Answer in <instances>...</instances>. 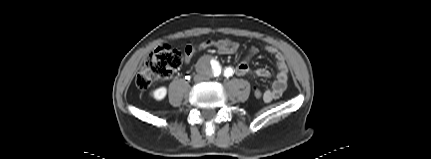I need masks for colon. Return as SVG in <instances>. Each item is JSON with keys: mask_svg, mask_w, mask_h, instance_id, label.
<instances>
[{"mask_svg": "<svg viewBox=\"0 0 431 159\" xmlns=\"http://www.w3.org/2000/svg\"><path fill=\"white\" fill-rule=\"evenodd\" d=\"M235 54L232 49H216L218 57H231ZM183 61V53L169 45L157 47L147 58L144 64L139 69L135 84L140 89H147L154 82L169 78L179 67ZM252 96L261 99L264 93L259 89L252 91Z\"/></svg>", "mask_w": 431, "mask_h": 159, "instance_id": "obj_1", "label": "colon"}]
</instances>
